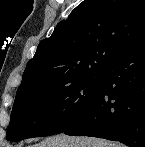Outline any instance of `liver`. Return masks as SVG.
I'll return each instance as SVG.
<instances>
[{"mask_svg":"<svg viewBox=\"0 0 145 147\" xmlns=\"http://www.w3.org/2000/svg\"><path fill=\"white\" fill-rule=\"evenodd\" d=\"M32 147H122V145L100 138L71 137L60 134L46 138Z\"/></svg>","mask_w":145,"mask_h":147,"instance_id":"1","label":"liver"}]
</instances>
